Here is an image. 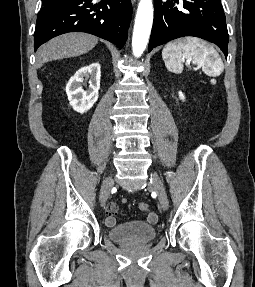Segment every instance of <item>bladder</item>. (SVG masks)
<instances>
[{"label": "bladder", "mask_w": 255, "mask_h": 287, "mask_svg": "<svg viewBox=\"0 0 255 287\" xmlns=\"http://www.w3.org/2000/svg\"><path fill=\"white\" fill-rule=\"evenodd\" d=\"M155 226L142 221H131L107 229V236L114 242L148 243L157 237Z\"/></svg>", "instance_id": "bladder-1"}]
</instances>
